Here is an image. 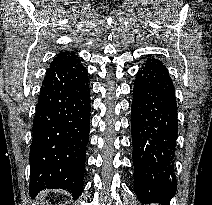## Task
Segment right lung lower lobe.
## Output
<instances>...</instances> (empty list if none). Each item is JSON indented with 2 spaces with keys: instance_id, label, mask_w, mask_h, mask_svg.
I'll use <instances>...</instances> for the list:
<instances>
[{
  "instance_id": "obj_1",
  "label": "right lung lower lobe",
  "mask_w": 212,
  "mask_h": 205,
  "mask_svg": "<svg viewBox=\"0 0 212 205\" xmlns=\"http://www.w3.org/2000/svg\"><path fill=\"white\" fill-rule=\"evenodd\" d=\"M90 84L74 52H61L42 82L30 147L32 198L46 188H61L78 198L83 190L90 126Z\"/></svg>"
}]
</instances>
